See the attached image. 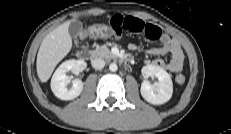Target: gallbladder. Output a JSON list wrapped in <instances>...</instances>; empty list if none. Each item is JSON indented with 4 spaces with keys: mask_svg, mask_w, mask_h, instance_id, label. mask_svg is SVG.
Returning <instances> with one entry per match:
<instances>
[{
    "mask_svg": "<svg viewBox=\"0 0 231 134\" xmlns=\"http://www.w3.org/2000/svg\"><path fill=\"white\" fill-rule=\"evenodd\" d=\"M81 30H82V23L81 22H79V21L71 22V24L69 26V34L72 37H76Z\"/></svg>",
    "mask_w": 231,
    "mask_h": 134,
    "instance_id": "bac80fb5",
    "label": "gallbladder"
}]
</instances>
